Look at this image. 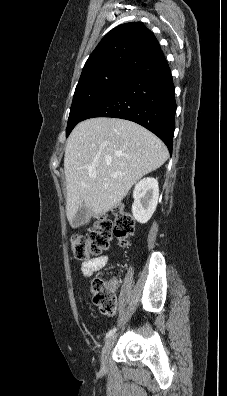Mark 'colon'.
Segmentation results:
<instances>
[{"label":"colon","mask_w":227,"mask_h":396,"mask_svg":"<svg viewBox=\"0 0 227 396\" xmlns=\"http://www.w3.org/2000/svg\"><path fill=\"white\" fill-rule=\"evenodd\" d=\"M134 233L132 217L121 207L114 210V220L106 217L100 218L87 236H75L72 240V254L75 259L88 261L108 249L113 237L117 238L120 245L128 244ZM93 302L105 315H114L117 301L114 285L102 276H96L90 284Z\"/></svg>","instance_id":"obj_1"}]
</instances>
